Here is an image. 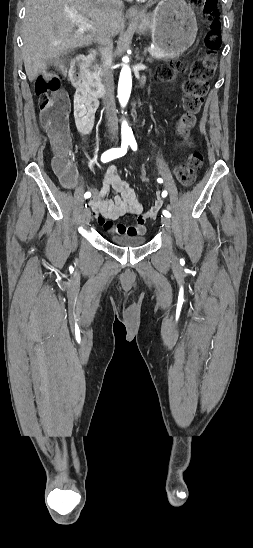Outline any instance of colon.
Returning <instances> with one entry per match:
<instances>
[{"instance_id":"colon-1","label":"colon","mask_w":253,"mask_h":548,"mask_svg":"<svg viewBox=\"0 0 253 548\" xmlns=\"http://www.w3.org/2000/svg\"><path fill=\"white\" fill-rule=\"evenodd\" d=\"M191 2L202 7L207 19L208 32L204 39L207 52L191 65L189 76L183 83L185 114L177 124V130L182 135H186L194 125L195 114L201 109L209 89V81L213 78L217 67L216 51L221 46V37L218 32L220 23L217 19V0H191ZM184 70L185 64L182 61H176L170 66L163 67L158 73V78L170 82L176 74ZM64 75L63 61L53 62L37 77L35 92L38 96L41 124L50 134L57 155L53 163L54 169L60 176L69 177L73 172L72 165L68 160L70 136L67 120L70 105L67 95L60 89ZM202 160V155L198 151L189 154L185 162L175 169L178 181L184 186L191 185L195 180L197 170L202 165ZM147 169L145 166L139 172L144 183L150 182Z\"/></svg>"}]
</instances>
